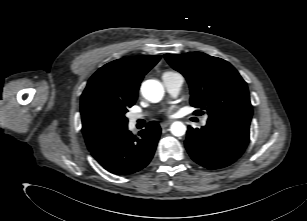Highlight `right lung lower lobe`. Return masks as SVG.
Returning <instances> with one entry per match:
<instances>
[{
	"instance_id": "98d812e1",
	"label": "right lung lower lobe",
	"mask_w": 307,
	"mask_h": 221,
	"mask_svg": "<svg viewBox=\"0 0 307 221\" xmlns=\"http://www.w3.org/2000/svg\"><path fill=\"white\" fill-rule=\"evenodd\" d=\"M160 132V126L155 121L148 123L138 137L126 127L105 138L90 152L107 171L116 175L133 174L151 161Z\"/></svg>"
}]
</instances>
